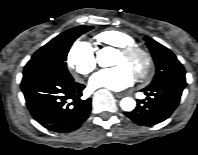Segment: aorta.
Masks as SVG:
<instances>
[{"mask_svg": "<svg viewBox=\"0 0 198 155\" xmlns=\"http://www.w3.org/2000/svg\"><path fill=\"white\" fill-rule=\"evenodd\" d=\"M114 55L115 49H113L112 47H105L103 49L98 50L96 53V58L99 66L109 67L114 65ZM120 106L122 110L130 112L134 110V108L136 107V102L134 99L130 97H125L121 100Z\"/></svg>", "mask_w": 198, "mask_h": 155, "instance_id": "aorta-1", "label": "aorta"}]
</instances>
